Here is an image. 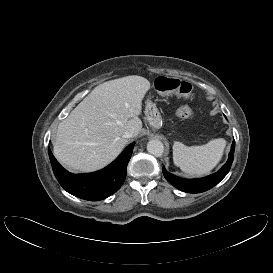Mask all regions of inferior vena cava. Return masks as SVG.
Masks as SVG:
<instances>
[{"label":"inferior vena cava","instance_id":"602c4592","mask_svg":"<svg viewBox=\"0 0 273 273\" xmlns=\"http://www.w3.org/2000/svg\"><path fill=\"white\" fill-rule=\"evenodd\" d=\"M134 135H135L134 134V130L129 129V130H127V131L124 132L123 137L126 138V139H128V138L133 137Z\"/></svg>","mask_w":273,"mask_h":273}]
</instances>
